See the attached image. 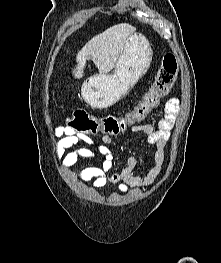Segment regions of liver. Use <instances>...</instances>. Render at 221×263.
Masks as SVG:
<instances>
[{"label": "liver", "instance_id": "liver-1", "mask_svg": "<svg viewBox=\"0 0 221 263\" xmlns=\"http://www.w3.org/2000/svg\"><path fill=\"white\" fill-rule=\"evenodd\" d=\"M135 31V27L121 23L94 36L76 55V67L73 70L75 78L84 75L87 60H92L100 73L111 71L119 58L126 40Z\"/></svg>", "mask_w": 221, "mask_h": 263}]
</instances>
